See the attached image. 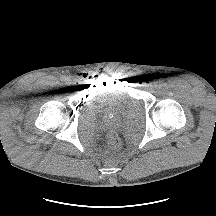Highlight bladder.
<instances>
[{
	"mask_svg": "<svg viewBox=\"0 0 216 216\" xmlns=\"http://www.w3.org/2000/svg\"><path fill=\"white\" fill-rule=\"evenodd\" d=\"M130 101L131 98L125 93L103 92L94 96L93 105L105 111H120L127 107Z\"/></svg>",
	"mask_w": 216,
	"mask_h": 216,
	"instance_id": "31cf9c89",
	"label": "bladder"
}]
</instances>
